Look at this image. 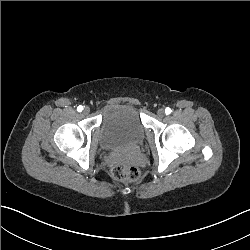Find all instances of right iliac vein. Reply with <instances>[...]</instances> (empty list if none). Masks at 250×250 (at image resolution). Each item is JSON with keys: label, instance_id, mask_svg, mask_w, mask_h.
Masks as SVG:
<instances>
[{"label": "right iliac vein", "instance_id": "obj_1", "mask_svg": "<svg viewBox=\"0 0 250 250\" xmlns=\"http://www.w3.org/2000/svg\"><path fill=\"white\" fill-rule=\"evenodd\" d=\"M83 113H84L85 115L89 114V113H90V108H89V107H85V108L83 109Z\"/></svg>", "mask_w": 250, "mask_h": 250}]
</instances>
